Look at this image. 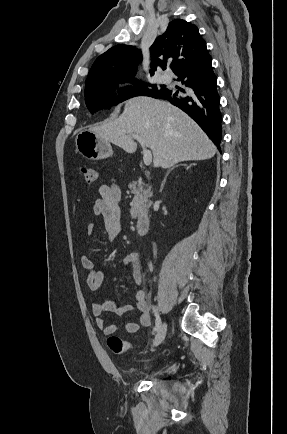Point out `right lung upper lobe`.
<instances>
[{
	"label": "right lung upper lobe",
	"instance_id": "obj_1",
	"mask_svg": "<svg viewBox=\"0 0 287 434\" xmlns=\"http://www.w3.org/2000/svg\"><path fill=\"white\" fill-rule=\"evenodd\" d=\"M206 51V43L197 27L185 20L175 19L150 47V75L158 68L164 69L168 60H172V71L177 74ZM141 59L140 49L131 45H116L95 60L85 85L110 79L132 78Z\"/></svg>",
	"mask_w": 287,
	"mask_h": 434
}]
</instances>
